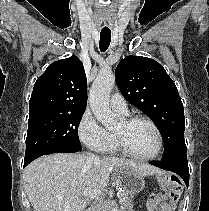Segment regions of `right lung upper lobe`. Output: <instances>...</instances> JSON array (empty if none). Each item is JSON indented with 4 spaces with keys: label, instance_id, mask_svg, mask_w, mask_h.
<instances>
[{
    "label": "right lung upper lobe",
    "instance_id": "1",
    "mask_svg": "<svg viewBox=\"0 0 209 211\" xmlns=\"http://www.w3.org/2000/svg\"><path fill=\"white\" fill-rule=\"evenodd\" d=\"M87 83L77 56L53 62L37 79L29 102V115L41 112H84Z\"/></svg>",
    "mask_w": 209,
    "mask_h": 211
}]
</instances>
